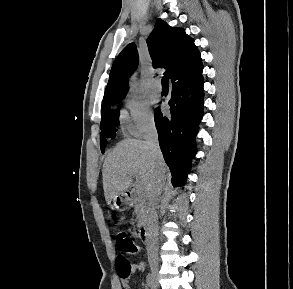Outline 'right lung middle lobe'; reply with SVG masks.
<instances>
[{
    "mask_svg": "<svg viewBox=\"0 0 293 289\" xmlns=\"http://www.w3.org/2000/svg\"><path fill=\"white\" fill-rule=\"evenodd\" d=\"M124 96H118L107 100L106 102L102 103V111H101V151L104 152V149L107 145V138H114L115 137V126L119 124V114L117 113H110L108 112L110 106L121 100Z\"/></svg>",
    "mask_w": 293,
    "mask_h": 289,
    "instance_id": "obj_1",
    "label": "right lung middle lobe"
}]
</instances>
